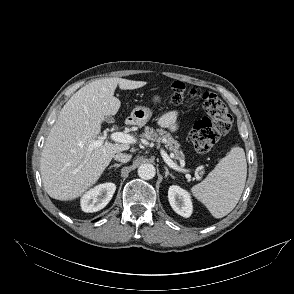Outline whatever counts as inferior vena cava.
Listing matches in <instances>:
<instances>
[{
  "label": "inferior vena cava",
  "instance_id": "1",
  "mask_svg": "<svg viewBox=\"0 0 294 294\" xmlns=\"http://www.w3.org/2000/svg\"><path fill=\"white\" fill-rule=\"evenodd\" d=\"M132 158V155L130 154H125V153H117L115 156H114V159L116 161H120V162H123V163H126L128 161H130Z\"/></svg>",
  "mask_w": 294,
  "mask_h": 294
}]
</instances>
